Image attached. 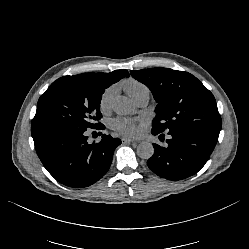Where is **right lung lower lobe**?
I'll list each match as a JSON object with an SVG mask.
<instances>
[{"label":"right lung lower lobe","mask_w":249,"mask_h":249,"mask_svg":"<svg viewBox=\"0 0 249 249\" xmlns=\"http://www.w3.org/2000/svg\"><path fill=\"white\" fill-rule=\"evenodd\" d=\"M68 125H36L31 134L36 152L48 172L60 183L75 188L87 187L108 171L113 152L121 144L118 138L102 134L98 143L90 144L87 131L104 130Z\"/></svg>","instance_id":"obj_1"}]
</instances>
